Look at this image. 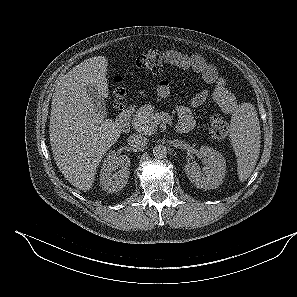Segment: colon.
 Instances as JSON below:
<instances>
[{
    "instance_id": "5ec220e1",
    "label": "colon",
    "mask_w": 297,
    "mask_h": 297,
    "mask_svg": "<svg viewBox=\"0 0 297 297\" xmlns=\"http://www.w3.org/2000/svg\"><path fill=\"white\" fill-rule=\"evenodd\" d=\"M136 65L140 69L160 74L166 70V58L161 51H148L138 56ZM112 94L115 102L121 105L125 94L124 88L121 85H117L114 87ZM208 132L214 139L222 140L228 134V124L222 116L214 114L209 118Z\"/></svg>"
}]
</instances>
